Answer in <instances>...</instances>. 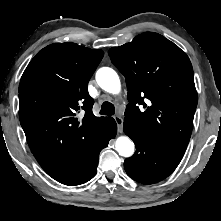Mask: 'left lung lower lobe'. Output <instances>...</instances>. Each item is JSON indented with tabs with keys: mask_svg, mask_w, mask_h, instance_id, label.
<instances>
[{
	"mask_svg": "<svg viewBox=\"0 0 221 221\" xmlns=\"http://www.w3.org/2000/svg\"><path fill=\"white\" fill-rule=\"evenodd\" d=\"M123 128L136 145L135 154L124 161L125 171L132 179L153 184L165 179L176 169L186 148L158 141L130 121H124Z\"/></svg>",
	"mask_w": 221,
	"mask_h": 221,
	"instance_id": "1",
	"label": "left lung lower lobe"
}]
</instances>
